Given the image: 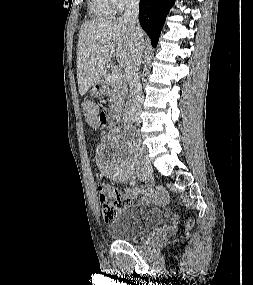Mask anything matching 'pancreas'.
I'll list each match as a JSON object with an SVG mask.
<instances>
[{"instance_id":"pancreas-1","label":"pancreas","mask_w":253,"mask_h":285,"mask_svg":"<svg viewBox=\"0 0 253 285\" xmlns=\"http://www.w3.org/2000/svg\"><path fill=\"white\" fill-rule=\"evenodd\" d=\"M104 85L105 93L110 98V108L114 109L116 112H120L122 110V106L124 105V99L127 93L126 82L121 79L119 82H114L108 76L104 81Z\"/></svg>"}]
</instances>
